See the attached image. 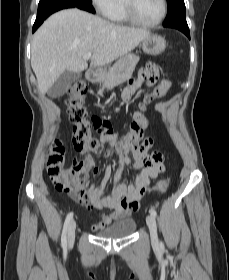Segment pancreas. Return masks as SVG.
I'll use <instances>...</instances> for the list:
<instances>
[{"label":"pancreas","instance_id":"obj_1","mask_svg":"<svg viewBox=\"0 0 229 280\" xmlns=\"http://www.w3.org/2000/svg\"><path fill=\"white\" fill-rule=\"evenodd\" d=\"M138 61V56L128 54L118 59L113 66L104 69L100 76L102 91L124 82L133 73Z\"/></svg>","mask_w":229,"mask_h":280}]
</instances>
